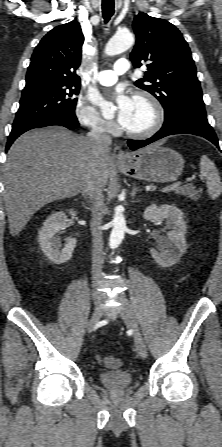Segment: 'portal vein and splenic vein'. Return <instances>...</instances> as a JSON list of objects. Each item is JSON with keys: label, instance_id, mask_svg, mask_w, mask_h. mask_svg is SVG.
<instances>
[{"label": "portal vein and splenic vein", "instance_id": "18ae733b", "mask_svg": "<svg viewBox=\"0 0 222 447\" xmlns=\"http://www.w3.org/2000/svg\"><path fill=\"white\" fill-rule=\"evenodd\" d=\"M180 184H181V182H174L172 184H169L162 189V192H168V191L175 190L180 186Z\"/></svg>", "mask_w": 222, "mask_h": 447}]
</instances>
